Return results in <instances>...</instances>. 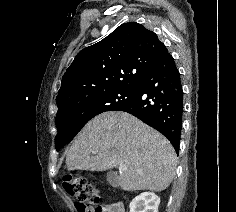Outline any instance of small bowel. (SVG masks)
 I'll return each mask as SVG.
<instances>
[{
  "instance_id": "small-bowel-1",
  "label": "small bowel",
  "mask_w": 236,
  "mask_h": 212,
  "mask_svg": "<svg viewBox=\"0 0 236 212\" xmlns=\"http://www.w3.org/2000/svg\"><path fill=\"white\" fill-rule=\"evenodd\" d=\"M103 208L104 212H124V206L120 202L111 203L109 205L103 206Z\"/></svg>"
}]
</instances>
